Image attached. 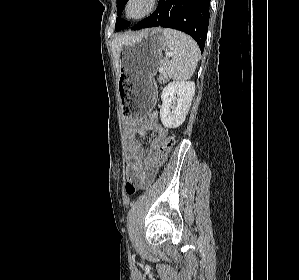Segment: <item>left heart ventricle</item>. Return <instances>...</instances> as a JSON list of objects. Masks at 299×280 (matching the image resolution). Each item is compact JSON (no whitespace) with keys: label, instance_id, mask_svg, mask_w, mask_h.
Wrapping results in <instances>:
<instances>
[{"label":"left heart ventricle","instance_id":"b2bd125f","mask_svg":"<svg viewBox=\"0 0 299 280\" xmlns=\"http://www.w3.org/2000/svg\"><path fill=\"white\" fill-rule=\"evenodd\" d=\"M145 5L142 0H136L134 3L131 4L129 12L131 15H137L144 9Z\"/></svg>","mask_w":299,"mask_h":280}]
</instances>
